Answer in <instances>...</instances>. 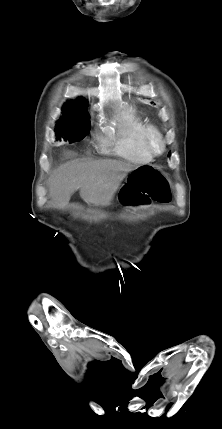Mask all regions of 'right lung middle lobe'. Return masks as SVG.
<instances>
[{
	"label": "right lung middle lobe",
	"mask_w": 222,
	"mask_h": 429,
	"mask_svg": "<svg viewBox=\"0 0 222 429\" xmlns=\"http://www.w3.org/2000/svg\"><path fill=\"white\" fill-rule=\"evenodd\" d=\"M87 102L83 99L67 101L63 106L61 119L56 122V139L73 143L82 140L89 130Z\"/></svg>",
	"instance_id": "obj_1"
}]
</instances>
